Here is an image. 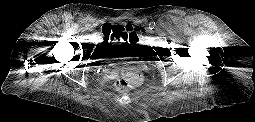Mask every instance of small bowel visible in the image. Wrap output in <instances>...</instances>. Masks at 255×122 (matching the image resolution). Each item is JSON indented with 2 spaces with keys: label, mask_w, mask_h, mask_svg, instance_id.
<instances>
[{
  "label": "small bowel",
  "mask_w": 255,
  "mask_h": 122,
  "mask_svg": "<svg viewBox=\"0 0 255 122\" xmlns=\"http://www.w3.org/2000/svg\"><path fill=\"white\" fill-rule=\"evenodd\" d=\"M107 25H109V24L108 23L104 24L103 27L107 26ZM127 25H130V24H127ZM103 35L105 36V40L101 43L100 48L104 49V50L110 49L111 46H114V45H123L125 43H129L130 41H133V40H129V41L123 42L119 37H117L115 35L106 36L104 33H103Z\"/></svg>",
  "instance_id": "1"
}]
</instances>
